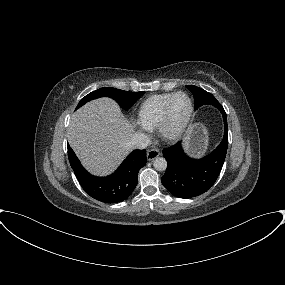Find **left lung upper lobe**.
I'll return each mask as SVG.
<instances>
[{
	"instance_id": "obj_1",
	"label": "left lung upper lobe",
	"mask_w": 285,
	"mask_h": 285,
	"mask_svg": "<svg viewBox=\"0 0 285 285\" xmlns=\"http://www.w3.org/2000/svg\"><path fill=\"white\" fill-rule=\"evenodd\" d=\"M194 95V107L195 109H198L200 106L205 104H211L215 106L216 104H219V102L215 99V97L205 91L202 88H199L197 86L188 85L186 86Z\"/></svg>"
}]
</instances>
